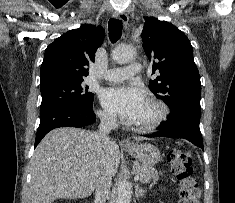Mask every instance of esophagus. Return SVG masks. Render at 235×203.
Masks as SVG:
<instances>
[{"label":"esophagus","instance_id":"esophagus-1","mask_svg":"<svg viewBox=\"0 0 235 203\" xmlns=\"http://www.w3.org/2000/svg\"><path fill=\"white\" fill-rule=\"evenodd\" d=\"M113 17L115 19H118V20H121L123 22L124 25H127L128 24V16L126 13H118V12H114L113 13ZM121 145H124V146H128L130 145V142L128 140H122L120 142Z\"/></svg>","mask_w":235,"mask_h":203}]
</instances>
